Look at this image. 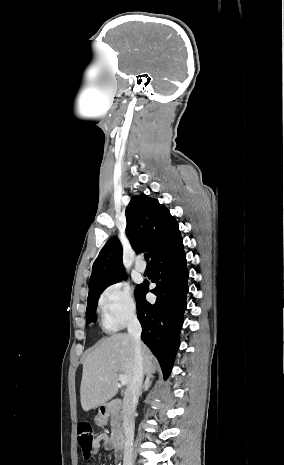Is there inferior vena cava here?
<instances>
[{
	"mask_svg": "<svg viewBox=\"0 0 284 465\" xmlns=\"http://www.w3.org/2000/svg\"><path fill=\"white\" fill-rule=\"evenodd\" d=\"M128 333L134 339V369L133 379L125 391L122 407L123 429L125 433L123 465H133V443H134V413L141 393L143 381V355L141 349V325L136 317L132 315L128 323Z\"/></svg>",
	"mask_w": 284,
	"mask_h": 465,
	"instance_id": "1",
	"label": "inferior vena cava"
}]
</instances>
